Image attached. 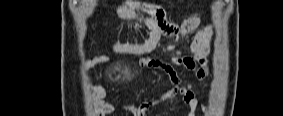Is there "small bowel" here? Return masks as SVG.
Segmentation results:
<instances>
[{
    "mask_svg": "<svg viewBox=\"0 0 283 116\" xmlns=\"http://www.w3.org/2000/svg\"><path fill=\"white\" fill-rule=\"evenodd\" d=\"M147 11L152 15V17L142 14L135 7L134 1L125 0L121 2V4L117 7V13L122 18L134 21L147 28L149 30V37L145 43L138 45L111 43L109 44L111 51L118 54L144 55L159 44L163 35H170L175 41L183 42L199 24V18L194 16L187 19L180 28H176L165 22V13L161 8L149 7ZM212 35V25L208 24L200 28L196 32L190 44L193 57L177 55L172 59V62L192 70L199 79L206 78L209 74L207 57L211 49ZM173 47V44L168 45L169 49H173ZM109 60V56L104 53L93 55L84 62L83 69H91L98 64L107 63ZM140 63L142 67L156 68L163 71L167 75L173 87L163 92L156 101L145 103L140 108L134 109V115H145L146 112L155 105L181 96L183 99L182 111L186 112L188 116H194L195 110L198 106V98L193 90L181 85V79L170 63L161 60H154L148 57L142 58ZM92 92L94 101L100 110L103 112H109L112 110L111 106L102 102V99L105 96V91L102 86H94L92 88Z\"/></svg>",
    "mask_w": 283,
    "mask_h": 116,
    "instance_id": "obj_1",
    "label": "small bowel"
}]
</instances>
